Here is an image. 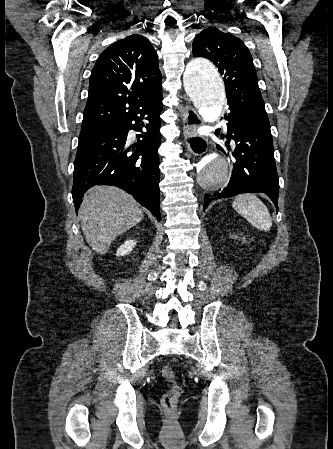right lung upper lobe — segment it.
<instances>
[{"instance_id": "1", "label": "right lung upper lobe", "mask_w": 333, "mask_h": 449, "mask_svg": "<svg viewBox=\"0 0 333 449\" xmlns=\"http://www.w3.org/2000/svg\"><path fill=\"white\" fill-rule=\"evenodd\" d=\"M161 72L151 42L133 34L106 48L89 81L82 130L114 122L161 96Z\"/></svg>"}]
</instances>
